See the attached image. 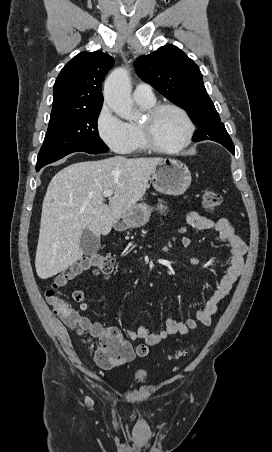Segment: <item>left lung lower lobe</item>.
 Instances as JSON below:
<instances>
[{
    "label": "left lung lower lobe",
    "instance_id": "0a47b994",
    "mask_svg": "<svg viewBox=\"0 0 272 452\" xmlns=\"http://www.w3.org/2000/svg\"><path fill=\"white\" fill-rule=\"evenodd\" d=\"M218 143L222 144L225 148H227L232 154H235L234 144L231 138H227L224 140L218 141Z\"/></svg>",
    "mask_w": 272,
    "mask_h": 452
}]
</instances>
